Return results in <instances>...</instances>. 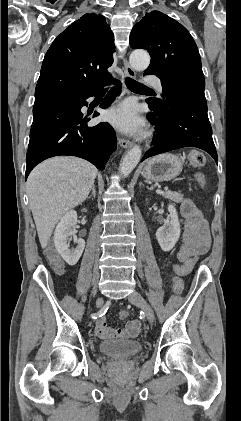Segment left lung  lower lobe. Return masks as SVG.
Listing matches in <instances>:
<instances>
[{
    "instance_id": "obj_1",
    "label": "left lung lower lobe",
    "mask_w": 241,
    "mask_h": 421,
    "mask_svg": "<svg viewBox=\"0 0 241 421\" xmlns=\"http://www.w3.org/2000/svg\"><path fill=\"white\" fill-rule=\"evenodd\" d=\"M146 102L153 110L147 118L156 126L157 132L153 139L155 146L145 153L141 161L182 147H196L208 152L217 163L204 90H175L164 105L155 104L151 99Z\"/></svg>"
}]
</instances>
